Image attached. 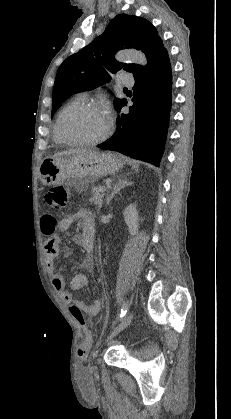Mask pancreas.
<instances>
[{
	"label": "pancreas",
	"instance_id": "pancreas-1",
	"mask_svg": "<svg viewBox=\"0 0 231 419\" xmlns=\"http://www.w3.org/2000/svg\"><path fill=\"white\" fill-rule=\"evenodd\" d=\"M93 196L89 199L90 203H94L98 208H101L103 203V192L100 191V187L92 189Z\"/></svg>",
	"mask_w": 231,
	"mask_h": 419
}]
</instances>
